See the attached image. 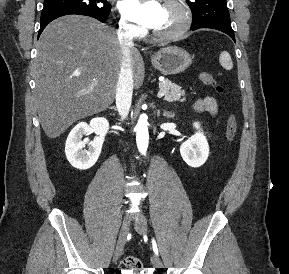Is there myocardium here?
<instances>
[{
  "label": "myocardium",
  "instance_id": "f54148a6",
  "mask_svg": "<svg viewBox=\"0 0 289 274\" xmlns=\"http://www.w3.org/2000/svg\"><path fill=\"white\" fill-rule=\"evenodd\" d=\"M164 5H175L180 9L181 21L180 24L170 31L152 30V34L162 40H172L182 36L192 23V10L186 0H164Z\"/></svg>",
  "mask_w": 289,
  "mask_h": 274
}]
</instances>
